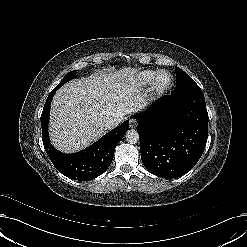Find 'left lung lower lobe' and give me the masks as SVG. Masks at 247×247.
Segmentation results:
<instances>
[{
  "label": "left lung lower lobe",
  "mask_w": 247,
  "mask_h": 247,
  "mask_svg": "<svg viewBox=\"0 0 247 247\" xmlns=\"http://www.w3.org/2000/svg\"><path fill=\"white\" fill-rule=\"evenodd\" d=\"M134 118L139 121L141 160L150 173L163 178L183 176L202 156L208 113L200 88L163 96Z\"/></svg>",
  "instance_id": "left-lung-lower-lobe-1"
}]
</instances>
